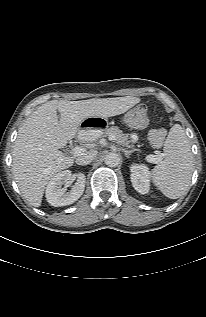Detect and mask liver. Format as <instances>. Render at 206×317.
Here are the masks:
<instances>
[{"label": "liver", "instance_id": "liver-1", "mask_svg": "<svg viewBox=\"0 0 206 317\" xmlns=\"http://www.w3.org/2000/svg\"><path fill=\"white\" fill-rule=\"evenodd\" d=\"M139 102L138 97L125 96L52 100L38 107L20 127L12 154V172L24 198L32 206L40 207L48 181L73 165L74 159L59 149L76 136L83 120L120 115Z\"/></svg>", "mask_w": 206, "mask_h": 317}]
</instances>
